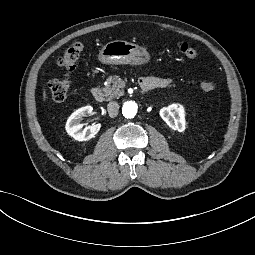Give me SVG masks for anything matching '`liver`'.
<instances>
[{
	"label": "liver",
	"instance_id": "liver-1",
	"mask_svg": "<svg viewBox=\"0 0 255 255\" xmlns=\"http://www.w3.org/2000/svg\"><path fill=\"white\" fill-rule=\"evenodd\" d=\"M47 101V91H46V86H43V102L46 103Z\"/></svg>",
	"mask_w": 255,
	"mask_h": 255
}]
</instances>
